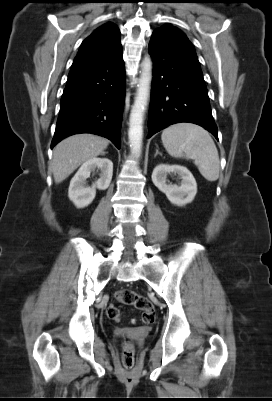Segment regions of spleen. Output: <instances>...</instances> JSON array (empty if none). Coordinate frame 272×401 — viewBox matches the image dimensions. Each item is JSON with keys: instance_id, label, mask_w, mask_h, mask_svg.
Masks as SVG:
<instances>
[{"instance_id": "obj_1", "label": "spleen", "mask_w": 272, "mask_h": 401, "mask_svg": "<svg viewBox=\"0 0 272 401\" xmlns=\"http://www.w3.org/2000/svg\"><path fill=\"white\" fill-rule=\"evenodd\" d=\"M161 139L172 157L192 158L206 180L213 182L219 178L218 150L206 130L191 123H179L164 129Z\"/></svg>"}]
</instances>
